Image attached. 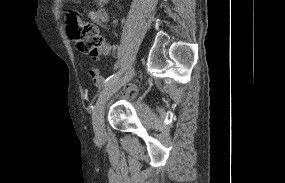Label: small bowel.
<instances>
[{
  "label": "small bowel",
  "mask_w": 285,
  "mask_h": 183,
  "mask_svg": "<svg viewBox=\"0 0 285 183\" xmlns=\"http://www.w3.org/2000/svg\"><path fill=\"white\" fill-rule=\"evenodd\" d=\"M109 0H96L95 9H91L87 11V15L92 22L96 25L106 29L107 23L109 20V14L105 9L106 4ZM101 56L104 57H112L115 60L114 69H117L119 66V57L120 50L117 45L110 44L108 42H103L102 45L97 49V51L93 54L94 58H99ZM89 74L94 84L97 87H101L105 83V78L102 75L99 68L93 66L89 70ZM127 93L131 96H136L138 94V89L136 87H129L127 89Z\"/></svg>",
  "instance_id": "small-bowel-1"
}]
</instances>
